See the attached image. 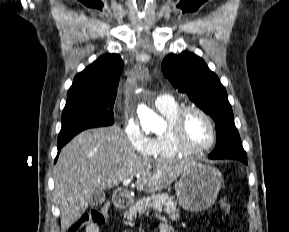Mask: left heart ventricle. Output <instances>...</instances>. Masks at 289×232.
I'll return each mask as SVG.
<instances>
[{
  "label": "left heart ventricle",
  "instance_id": "obj_1",
  "mask_svg": "<svg viewBox=\"0 0 289 232\" xmlns=\"http://www.w3.org/2000/svg\"><path fill=\"white\" fill-rule=\"evenodd\" d=\"M184 133L187 142L193 146H202L211 138L208 122L200 114L190 112L184 122Z\"/></svg>",
  "mask_w": 289,
  "mask_h": 232
}]
</instances>
